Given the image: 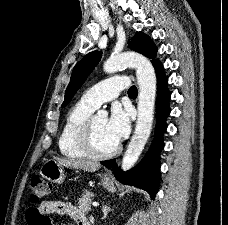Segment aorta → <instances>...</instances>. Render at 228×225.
I'll use <instances>...</instances> for the list:
<instances>
[{
  "instance_id": "1",
  "label": "aorta",
  "mask_w": 228,
  "mask_h": 225,
  "mask_svg": "<svg viewBox=\"0 0 228 225\" xmlns=\"http://www.w3.org/2000/svg\"><path fill=\"white\" fill-rule=\"evenodd\" d=\"M125 66H134L140 88L138 117L134 137H132L123 157L122 169L129 171L138 161L151 133L156 94V74L148 58L138 52H119L111 54L103 64L105 72H117ZM99 117H107V110H98Z\"/></svg>"
}]
</instances>
